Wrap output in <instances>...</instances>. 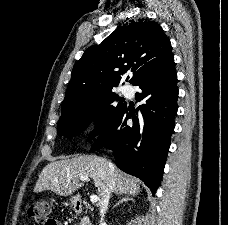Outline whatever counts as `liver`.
Segmentation results:
<instances>
[{
    "instance_id": "1",
    "label": "liver",
    "mask_w": 228,
    "mask_h": 225,
    "mask_svg": "<svg viewBox=\"0 0 228 225\" xmlns=\"http://www.w3.org/2000/svg\"><path fill=\"white\" fill-rule=\"evenodd\" d=\"M80 177L93 179L99 197L97 207H102L106 193V187L110 185V179H114L113 191L116 195H138L140 183L135 177L125 175L117 167L109 169V161L96 157V155H74V159L53 161L44 167L34 187V193L41 191H53L60 197H69L77 189L82 187ZM111 195V193H110Z\"/></svg>"
}]
</instances>
